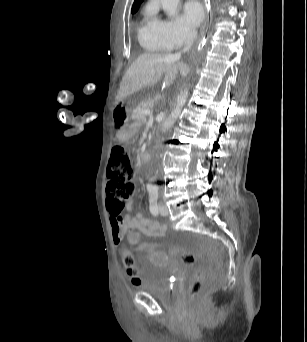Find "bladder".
Segmentation results:
<instances>
[{
	"label": "bladder",
	"mask_w": 307,
	"mask_h": 342,
	"mask_svg": "<svg viewBox=\"0 0 307 342\" xmlns=\"http://www.w3.org/2000/svg\"><path fill=\"white\" fill-rule=\"evenodd\" d=\"M137 286L141 291L168 300L171 297L174 284L170 280L167 269L161 266H152L143 274Z\"/></svg>",
	"instance_id": "obj_1"
}]
</instances>
